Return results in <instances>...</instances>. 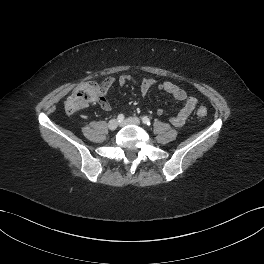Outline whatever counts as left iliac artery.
<instances>
[{"label":"left iliac artery","mask_w":264,"mask_h":264,"mask_svg":"<svg viewBox=\"0 0 264 264\" xmlns=\"http://www.w3.org/2000/svg\"><path fill=\"white\" fill-rule=\"evenodd\" d=\"M142 121L144 124H146L148 126L151 124L150 119L147 116H143Z\"/></svg>","instance_id":"44dca946"}]
</instances>
